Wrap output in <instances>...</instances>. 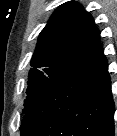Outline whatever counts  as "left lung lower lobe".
I'll use <instances>...</instances> for the list:
<instances>
[{
	"mask_svg": "<svg viewBox=\"0 0 117 136\" xmlns=\"http://www.w3.org/2000/svg\"><path fill=\"white\" fill-rule=\"evenodd\" d=\"M21 136H114V101L100 46L33 104Z\"/></svg>",
	"mask_w": 117,
	"mask_h": 136,
	"instance_id": "0a47b994",
	"label": "left lung lower lobe"
}]
</instances>
